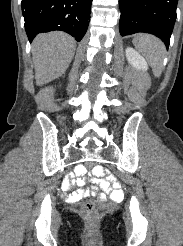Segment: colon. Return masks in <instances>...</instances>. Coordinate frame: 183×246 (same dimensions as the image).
Returning a JSON list of instances; mask_svg holds the SVG:
<instances>
[{
  "mask_svg": "<svg viewBox=\"0 0 183 246\" xmlns=\"http://www.w3.org/2000/svg\"><path fill=\"white\" fill-rule=\"evenodd\" d=\"M92 167H96V162H85V169H91ZM81 212L87 219H94L98 211L95 203L88 200L82 205Z\"/></svg>",
  "mask_w": 183,
  "mask_h": 246,
  "instance_id": "obj_1",
  "label": "colon"
}]
</instances>
